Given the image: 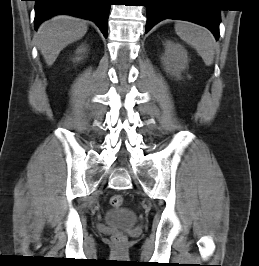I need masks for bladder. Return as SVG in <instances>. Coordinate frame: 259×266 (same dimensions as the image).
<instances>
[{
	"label": "bladder",
	"mask_w": 259,
	"mask_h": 266,
	"mask_svg": "<svg viewBox=\"0 0 259 266\" xmlns=\"http://www.w3.org/2000/svg\"><path fill=\"white\" fill-rule=\"evenodd\" d=\"M136 215L126 208H115L106 215V222L112 225L129 226L136 222Z\"/></svg>",
	"instance_id": "obj_1"
}]
</instances>
